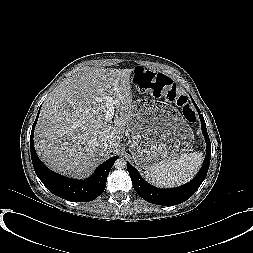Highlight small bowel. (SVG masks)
Returning <instances> with one entry per match:
<instances>
[{"instance_id": "1", "label": "small bowel", "mask_w": 253, "mask_h": 253, "mask_svg": "<svg viewBox=\"0 0 253 253\" xmlns=\"http://www.w3.org/2000/svg\"><path fill=\"white\" fill-rule=\"evenodd\" d=\"M136 85L140 89H150L152 87L148 81L142 79H138Z\"/></svg>"}]
</instances>
